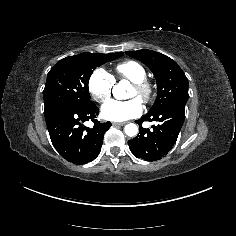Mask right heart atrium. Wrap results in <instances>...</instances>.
<instances>
[{"instance_id": "obj_1", "label": "right heart atrium", "mask_w": 236, "mask_h": 236, "mask_svg": "<svg viewBox=\"0 0 236 236\" xmlns=\"http://www.w3.org/2000/svg\"><path fill=\"white\" fill-rule=\"evenodd\" d=\"M88 88L91 93L92 99L103 105L109 101L113 88V77L103 69L95 70L88 81Z\"/></svg>"}]
</instances>
